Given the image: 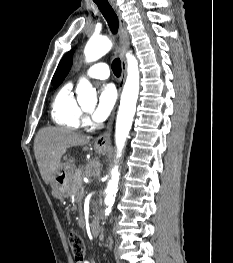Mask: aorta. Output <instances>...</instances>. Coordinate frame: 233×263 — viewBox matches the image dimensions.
<instances>
[{
  "instance_id": "762f6f07",
  "label": "aorta",
  "mask_w": 233,
  "mask_h": 263,
  "mask_svg": "<svg viewBox=\"0 0 233 263\" xmlns=\"http://www.w3.org/2000/svg\"><path fill=\"white\" fill-rule=\"evenodd\" d=\"M112 47V42L107 37H91L84 49L87 62H93L105 55ZM128 68L127 79L122 91L120 106L116 119L115 143L117 146V157L125 146L129 135L133 117L136 110V103L139 94V70L138 62L133 55L127 56ZM77 100L80 104L91 102L96 99V90L86 79H81L77 88ZM119 171L115 166L112 170V178L105 190V204L107 206L105 214L109 215L118 191Z\"/></svg>"
}]
</instances>
